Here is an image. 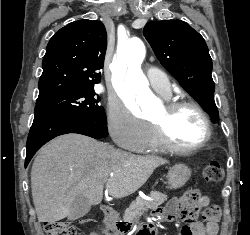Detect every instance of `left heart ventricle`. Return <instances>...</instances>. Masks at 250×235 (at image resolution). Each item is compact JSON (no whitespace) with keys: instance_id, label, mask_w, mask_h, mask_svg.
<instances>
[{"instance_id":"left-heart-ventricle-1","label":"left heart ventricle","mask_w":250,"mask_h":235,"mask_svg":"<svg viewBox=\"0 0 250 235\" xmlns=\"http://www.w3.org/2000/svg\"><path fill=\"white\" fill-rule=\"evenodd\" d=\"M164 107L150 118L159 122L164 117ZM170 138L178 145L192 146L204 137L205 129L201 116L192 108H183L174 113L168 123Z\"/></svg>"}]
</instances>
